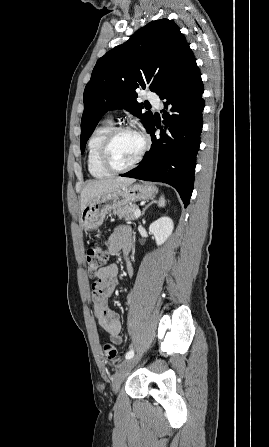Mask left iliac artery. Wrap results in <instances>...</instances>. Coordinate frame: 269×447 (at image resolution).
<instances>
[{
  "instance_id": "44dca946",
  "label": "left iliac artery",
  "mask_w": 269,
  "mask_h": 447,
  "mask_svg": "<svg viewBox=\"0 0 269 447\" xmlns=\"http://www.w3.org/2000/svg\"><path fill=\"white\" fill-rule=\"evenodd\" d=\"M133 356H134V351L131 350V351H129L128 353H126L125 358H126V359H130V358H132Z\"/></svg>"
}]
</instances>
